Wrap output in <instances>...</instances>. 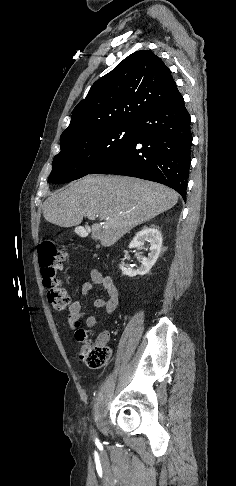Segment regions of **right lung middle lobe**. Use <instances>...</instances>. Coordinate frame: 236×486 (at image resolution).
I'll return each mask as SVG.
<instances>
[{"instance_id":"right-lung-middle-lobe-1","label":"right lung middle lobe","mask_w":236,"mask_h":486,"mask_svg":"<svg viewBox=\"0 0 236 486\" xmlns=\"http://www.w3.org/2000/svg\"><path fill=\"white\" fill-rule=\"evenodd\" d=\"M136 124L111 126L89 131L62 142L53 159L49 182L61 184L79 179L133 141Z\"/></svg>"}]
</instances>
